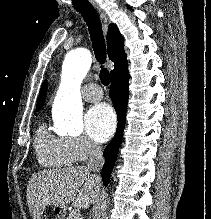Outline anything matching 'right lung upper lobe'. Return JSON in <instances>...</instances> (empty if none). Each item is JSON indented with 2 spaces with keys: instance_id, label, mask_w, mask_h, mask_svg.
Returning <instances> with one entry per match:
<instances>
[{
  "instance_id": "1",
  "label": "right lung upper lobe",
  "mask_w": 211,
  "mask_h": 219,
  "mask_svg": "<svg viewBox=\"0 0 211 219\" xmlns=\"http://www.w3.org/2000/svg\"><path fill=\"white\" fill-rule=\"evenodd\" d=\"M107 48L109 60L114 62V69L111 71L112 77L120 70L128 67L126 54L124 53V40L115 24H110L108 27ZM46 90L47 81H45L41 87L36 110H39L43 106Z\"/></svg>"
}]
</instances>
